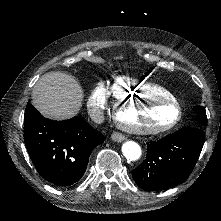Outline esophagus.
<instances>
[{
	"label": "esophagus",
	"mask_w": 221,
	"mask_h": 221,
	"mask_svg": "<svg viewBox=\"0 0 221 221\" xmlns=\"http://www.w3.org/2000/svg\"><path fill=\"white\" fill-rule=\"evenodd\" d=\"M111 139L116 142H122L126 139V136L120 132H114L111 135Z\"/></svg>",
	"instance_id": "1"
}]
</instances>
